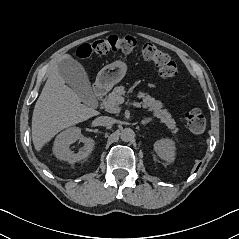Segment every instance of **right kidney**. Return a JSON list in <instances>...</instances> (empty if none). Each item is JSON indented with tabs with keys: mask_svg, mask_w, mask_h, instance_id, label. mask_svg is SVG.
<instances>
[{
	"mask_svg": "<svg viewBox=\"0 0 239 239\" xmlns=\"http://www.w3.org/2000/svg\"><path fill=\"white\" fill-rule=\"evenodd\" d=\"M77 140H80L85 145L78 153H74L70 149V146ZM94 144L93 139L82 136L80 128L70 127L62 131L55 138L53 153L59 160L75 163L87 158L91 154Z\"/></svg>",
	"mask_w": 239,
	"mask_h": 239,
	"instance_id": "right-kidney-1",
	"label": "right kidney"
}]
</instances>
